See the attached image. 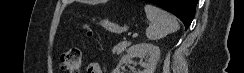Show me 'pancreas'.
I'll list each match as a JSON object with an SVG mask.
<instances>
[{"label": "pancreas", "instance_id": "obj_1", "mask_svg": "<svg viewBox=\"0 0 244 73\" xmlns=\"http://www.w3.org/2000/svg\"><path fill=\"white\" fill-rule=\"evenodd\" d=\"M130 44H131L130 42H125V41L118 43L113 47L112 53L120 55L126 49V47L130 46Z\"/></svg>", "mask_w": 244, "mask_h": 73}]
</instances>
